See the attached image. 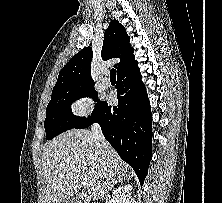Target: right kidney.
<instances>
[{
  "label": "right kidney",
  "mask_w": 222,
  "mask_h": 203,
  "mask_svg": "<svg viewBox=\"0 0 222 203\" xmlns=\"http://www.w3.org/2000/svg\"><path fill=\"white\" fill-rule=\"evenodd\" d=\"M132 186L130 184L119 187L113 192V203H130L132 194Z\"/></svg>",
  "instance_id": "right-kidney-1"
}]
</instances>
